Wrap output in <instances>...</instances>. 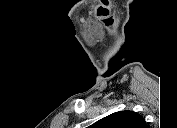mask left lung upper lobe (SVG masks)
I'll list each match as a JSON object with an SVG mask.
<instances>
[{
    "instance_id": "obj_1",
    "label": "left lung upper lobe",
    "mask_w": 177,
    "mask_h": 128,
    "mask_svg": "<svg viewBox=\"0 0 177 128\" xmlns=\"http://www.w3.org/2000/svg\"><path fill=\"white\" fill-rule=\"evenodd\" d=\"M98 128H146L142 116L133 111H119L97 121Z\"/></svg>"
}]
</instances>
